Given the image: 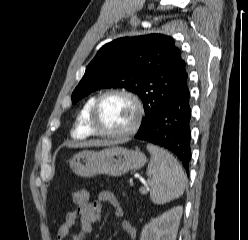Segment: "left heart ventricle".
<instances>
[{
    "instance_id": "1",
    "label": "left heart ventricle",
    "mask_w": 248,
    "mask_h": 240,
    "mask_svg": "<svg viewBox=\"0 0 248 240\" xmlns=\"http://www.w3.org/2000/svg\"><path fill=\"white\" fill-rule=\"evenodd\" d=\"M134 118V106L127 98L110 96L99 109L98 128L104 132H120L129 128Z\"/></svg>"
}]
</instances>
